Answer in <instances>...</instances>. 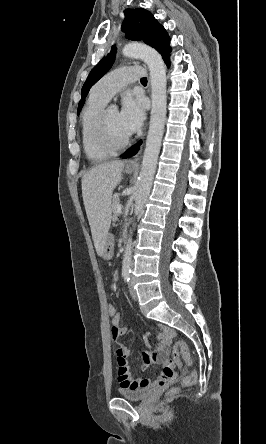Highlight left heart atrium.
<instances>
[{
  "label": "left heart atrium",
  "instance_id": "left-heart-atrium-1",
  "mask_svg": "<svg viewBox=\"0 0 266 444\" xmlns=\"http://www.w3.org/2000/svg\"><path fill=\"white\" fill-rule=\"evenodd\" d=\"M144 107L140 100L126 98L119 112V121L126 132L131 135L136 132L144 121Z\"/></svg>",
  "mask_w": 266,
  "mask_h": 444
}]
</instances>
